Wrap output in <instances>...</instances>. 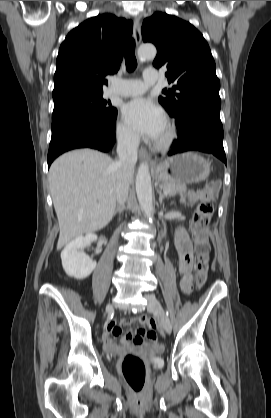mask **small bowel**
Here are the masks:
<instances>
[{
	"label": "small bowel",
	"instance_id": "c3829d8e",
	"mask_svg": "<svg viewBox=\"0 0 271 418\" xmlns=\"http://www.w3.org/2000/svg\"><path fill=\"white\" fill-rule=\"evenodd\" d=\"M176 248L178 252V266L179 272L182 275L180 282L181 291L184 294H189L193 287V246L192 243L184 231L183 228H179L176 235ZM137 321L136 318H123L119 323L111 322L103 336L105 349L108 352L116 353L121 350L122 346L132 347L135 349H144L143 340L147 336V331L140 328L135 334L128 332L121 340V345L115 343V338L119 337L122 333V327L130 326ZM154 349H158L159 345L156 339H150Z\"/></svg>",
	"mask_w": 271,
	"mask_h": 418
}]
</instances>
